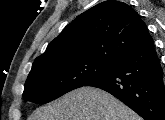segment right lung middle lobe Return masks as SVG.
<instances>
[{"label": "right lung middle lobe", "mask_w": 165, "mask_h": 120, "mask_svg": "<svg viewBox=\"0 0 165 120\" xmlns=\"http://www.w3.org/2000/svg\"><path fill=\"white\" fill-rule=\"evenodd\" d=\"M116 64L91 58H72L33 66L22 96L25 101L45 104L108 74Z\"/></svg>", "instance_id": "right-lung-middle-lobe-1"}]
</instances>
